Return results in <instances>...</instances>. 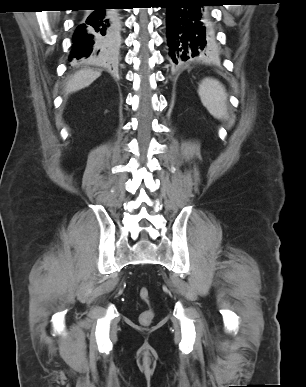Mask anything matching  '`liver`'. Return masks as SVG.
Returning a JSON list of instances; mask_svg holds the SVG:
<instances>
[{
    "label": "liver",
    "instance_id": "6515ba94",
    "mask_svg": "<svg viewBox=\"0 0 306 387\" xmlns=\"http://www.w3.org/2000/svg\"><path fill=\"white\" fill-rule=\"evenodd\" d=\"M101 71L93 69H82L77 71L66 85V93H73L91 85L99 76Z\"/></svg>",
    "mask_w": 306,
    "mask_h": 387
}]
</instances>
